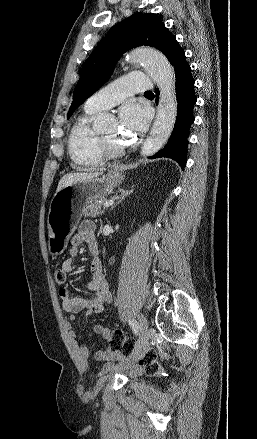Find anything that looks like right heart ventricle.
I'll list each match as a JSON object with an SVG mask.
<instances>
[{
	"label": "right heart ventricle",
	"mask_w": 257,
	"mask_h": 439,
	"mask_svg": "<svg viewBox=\"0 0 257 439\" xmlns=\"http://www.w3.org/2000/svg\"><path fill=\"white\" fill-rule=\"evenodd\" d=\"M95 111H87L78 117L68 138V151L73 166L77 169L98 167L104 159L99 134L93 129L91 120Z\"/></svg>",
	"instance_id": "e07e8e85"
}]
</instances>
